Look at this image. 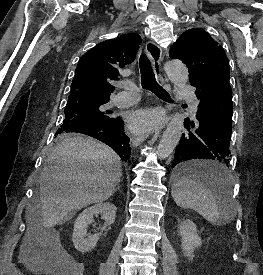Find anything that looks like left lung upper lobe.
<instances>
[{"label":"left lung upper lobe","instance_id":"obj_1","mask_svg":"<svg viewBox=\"0 0 263 275\" xmlns=\"http://www.w3.org/2000/svg\"><path fill=\"white\" fill-rule=\"evenodd\" d=\"M170 57L182 60L188 67L190 82L199 86L229 81L226 53L203 29L186 30L172 46Z\"/></svg>","mask_w":263,"mask_h":275}]
</instances>
